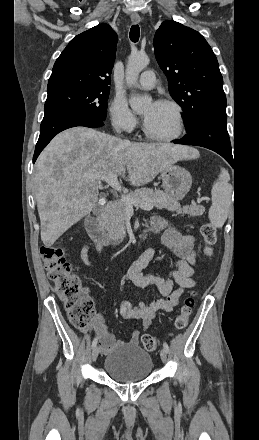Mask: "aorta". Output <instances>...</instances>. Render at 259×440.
I'll return each mask as SVG.
<instances>
[{"label":"aorta","mask_w":259,"mask_h":440,"mask_svg":"<svg viewBox=\"0 0 259 440\" xmlns=\"http://www.w3.org/2000/svg\"><path fill=\"white\" fill-rule=\"evenodd\" d=\"M149 57L146 54H131L126 67V84L133 87L138 80L140 72L149 64ZM152 101L151 96L133 93L129 99L133 111H141Z\"/></svg>","instance_id":"762f6f07"}]
</instances>
